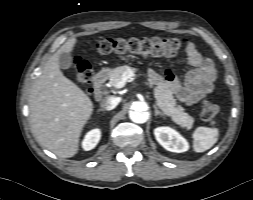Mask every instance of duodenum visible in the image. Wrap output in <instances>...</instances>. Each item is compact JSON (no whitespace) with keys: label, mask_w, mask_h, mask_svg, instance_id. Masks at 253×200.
<instances>
[{"label":"duodenum","mask_w":253,"mask_h":200,"mask_svg":"<svg viewBox=\"0 0 253 200\" xmlns=\"http://www.w3.org/2000/svg\"><path fill=\"white\" fill-rule=\"evenodd\" d=\"M107 78V71H98L93 78V94L96 98L101 96V87Z\"/></svg>","instance_id":"obj_1"}]
</instances>
